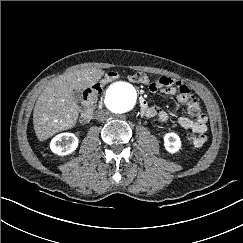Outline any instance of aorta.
<instances>
[{
  "instance_id": "aorta-1",
  "label": "aorta",
  "mask_w": 243,
  "mask_h": 243,
  "mask_svg": "<svg viewBox=\"0 0 243 243\" xmlns=\"http://www.w3.org/2000/svg\"><path fill=\"white\" fill-rule=\"evenodd\" d=\"M136 102L134 87L126 82H116L108 87L104 97L106 107L116 114L130 111Z\"/></svg>"
}]
</instances>
